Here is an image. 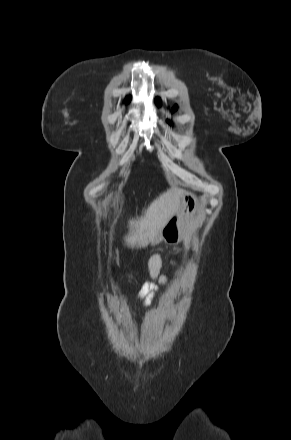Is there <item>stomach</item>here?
<instances>
[{
	"label": "stomach",
	"instance_id": "0dacf381",
	"mask_svg": "<svg viewBox=\"0 0 291 440\" xmlns=\"http://www.w3.org/2000/svg\"><path fill=\"white\" fill-rule=\"evenodd\" d=\"M180 210L173 213L165 226L155 237L154 242H175L181 239L188 231L189 225L202 208L200 197L194 192H182L180 196Z\"/></svg>",
	"mask_w": 291,
	"mask_h": 440
}]
</instances>
